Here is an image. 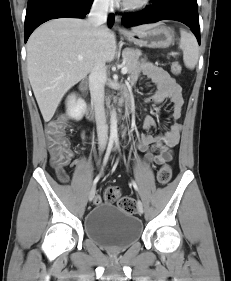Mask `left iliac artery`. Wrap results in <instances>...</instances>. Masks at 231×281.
Returning <instances> with one entry per match:
<instances>
[{
    "instance_id": "obj_1",
    "label": "left iliac artery",
    "mask_w": 231,
    "mask_h": 281,
    "mask_svg": "<svg viewBox=\"0 0 231 281\" xmlns=\"http://www.w3.org/2000/svg\"><path fill=\"white\" fill-rule=\"evenodd\" d=\"M115 141H116L117 147H119V141H118V139H116ZM133 187H134V189H135L136 191H138V186H137V184H136L135 181H133Z\"/></svg>"
}]
</instances>
